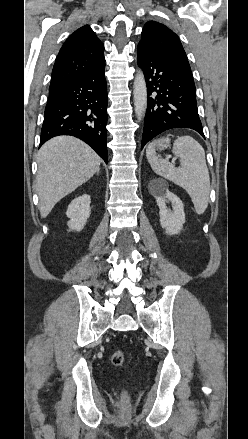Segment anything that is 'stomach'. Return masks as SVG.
Masks as SVG:
<instances>
[{
    "label": "stomach",
    "mask_w": 248,
    "mask_h": 439,
    "mask_svg": "<svg viewBox=\"0 0 248 439\" xmlns=\"http://www.w3.org/2000/svg\"><path fill=\"white\" fill-rule=\"evenodd\" d=\"M169 145H170V139L168 137L162 138V139L154 142V148H157L159 150H164V149L168 148Z\"/></svg>",
    "instance_id": "stomach-1"
}]
</instances>
